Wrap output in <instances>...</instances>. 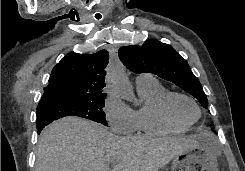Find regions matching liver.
Listing matches in <instances>:
<instances>
[{"label":"liver","mask_w":245,"mask_h":171,"mask_svg":"<svg viewBox=\"0 0 245 171\" xmlns=\"http://www.w3.org/2000/svg\"><path fill=\"white\" fill-rule=\"evenodd\" d=\"M202 137H118L100 124L65 117L41 133L35 171H158ZM108 160L116 162L112 170Z\"/></svg>","instance_id":"1"}]
</instances>
